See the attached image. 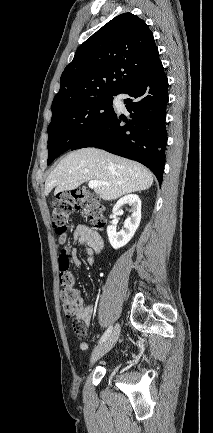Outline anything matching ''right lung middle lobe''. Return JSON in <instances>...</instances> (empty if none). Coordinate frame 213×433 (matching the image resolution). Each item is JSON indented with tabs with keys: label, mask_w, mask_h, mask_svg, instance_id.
<instances>
[{
	"label": "right lung middle lobe",
	"mask_w": 213,
	"mask_h": 433,
	"mask_svg": "<svg viewBox=\"0 0 213 433\" xmlns=\"http://www.w3.org/2000/svg\"><path fill=\"white\" fill-rule=\"evenodd\" d=\"M114 95H99L68 105L52 115L48 126L47 164L101 129L115 111Z\"/></svg>",
	"instance_id": "right-lung-middle-lobe-1"
}]
</instances>
